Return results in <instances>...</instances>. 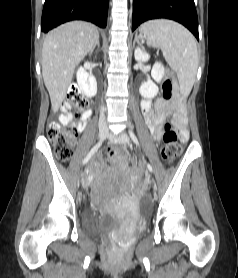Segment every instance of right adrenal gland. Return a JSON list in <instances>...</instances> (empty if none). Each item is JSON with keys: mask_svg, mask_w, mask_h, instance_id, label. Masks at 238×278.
Returning <instances> with one entry per match:
<instances>
[{"mask_svg": "<svg viewBox=\"0 0 238 278\" xmlns=\"http://www.w3.org/2000/svg\"><path fill=\"white\" fill-rule=\"evenodd\" d=\"M98 46L99 47V38L97 39L96 43L94 44L91 52H93V50L95 49V47Z\"/></svg>", "mask_w": 238, "mask_h": 278, "instance_id": "obj_1", "label": "right adrenal gland"}]
</instances>
